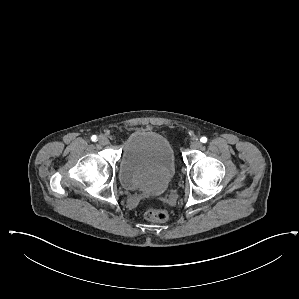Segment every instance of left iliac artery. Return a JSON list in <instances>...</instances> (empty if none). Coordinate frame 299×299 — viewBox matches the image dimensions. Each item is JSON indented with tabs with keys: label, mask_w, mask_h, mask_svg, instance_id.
Instances as JSON below:
<instances>
[{
	"label": "left iliac artery",
	"mask_w": 299,
	"mask_h": 299,
	"mask_svg": "<svg viewBox=\"0 0 299 299\" xmlns=\"http://www.w3.org/2000/svg\"><path fill=\"white\" fill-rule=\"evenodd\" d=\"M200 141H201L202 143H206V142H207V138H206L205 136H203V137L200 139Z\"/></svg>",
	"instance_id": "left-iliac-artery-1"
}]
</instances>
